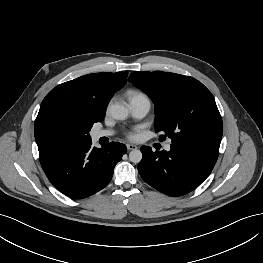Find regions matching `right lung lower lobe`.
Masks as SVG:
<instances>
[{"label":"right lung lower lobe","mask_w":263,"mask_h":263,"mask_svg":"<svg viewBox=\"0 0 263 263\" xmlns=\"http://www.w3.org/2000/svg\"><path fill=\"white\" fill-rule=\"evenodd\" d=\"M91 145V140L73 145L41 161L52 185L73 199L86 198L103 189L127 151L126 146L118 142L101 149Z\"/></svg>","instance_id":"obj_1"}]
</instances>
